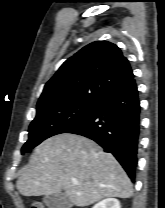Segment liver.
Instances as JSON below:
<instances>
[{
    "label": "liver",
    "mask_w": 165,
    "mask_h": 208,
    "mask_svg": "<svg viewBox=\"0 0 165 208\" xmlns=\"http://www.w3.org/2000/svg\"><path fill=\"white\" fill-rule=\"evenodd\" d=\"M78 181L74 185L72 181ZM17 189L23 196L65 191L78 207L104 198H129L132 183L111 153L81 135L63 133L38 145L22 170Z\"/></svg>",
    "instance_id": "liver-1"
}]
</instances>
